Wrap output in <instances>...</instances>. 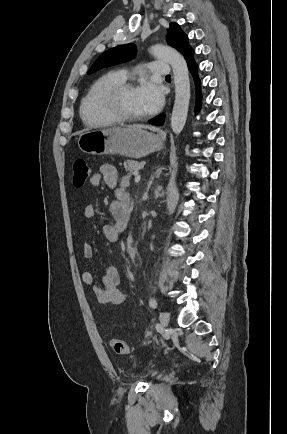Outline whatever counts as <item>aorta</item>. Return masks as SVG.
Masks as SVG:
<instances>
[{
  "mask_svg": "<svg viewBox=\"0 0 287 434\" xmlns=\"http://www.w3.org/2000/svg\"><path fill=\"white\" fill-rule=\"evenodd\" d=\"M152 54L168 62L173 70L175 84V101L171 116V128L180 134L185 126L190 101V80L185 59L175 49L164 45H154Z\"/></svg>",
  "mask_w": 287,
  "mask_h": 434,
  "instance_id": "1",
  "label": "aorta"
}]
</instances>
